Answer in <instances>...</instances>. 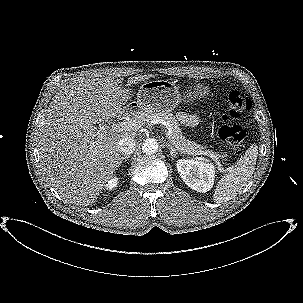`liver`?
I'll return each mask as SVG.
<instances>
[{"instance_id":"6515ba94","label":"liver","mask_w":303,"mask_h":303,"mask_svg":"<svg viewBox=\"0 0 303 303\" xmlns=\"http://www.w3.org/2000/svg\"><path fill=\"white\" fill-rule=\"evenodd\" d=\"M153 77H130L127 86ZM121 78L96 73L72 81L53 97L39 132L43 171L66 202L94 203L119 166L118 147L129 130L102 131L95 124L117 116L131 91L121 89Z\"/></svg>"}]
</instances>
